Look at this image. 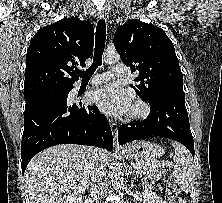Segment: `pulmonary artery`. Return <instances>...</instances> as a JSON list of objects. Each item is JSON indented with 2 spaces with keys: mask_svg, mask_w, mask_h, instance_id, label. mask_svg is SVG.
Segmentation results:
<instances>
[{
  "mask_svg": "<svg viewBox=\"0 0 222 203\" xmlns=\"http://www.w3.org/2000/svg\"><path fill=\"white\" fill-rule=\"evenodd\" d=\"M127 74V67L122 64H116L112 68V74L104 73L94 76L90 81L89 84H99L106 81L109 77H123Z\"/></svg>",
  "mask_w": 222,
  "mask_h": 203,
  "instance_id": "1",
  "label": "pulmonary artery"
}]
</instances>
